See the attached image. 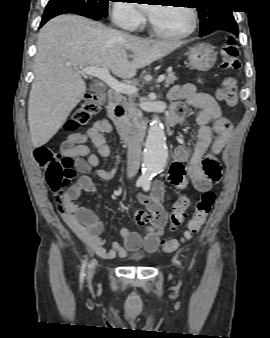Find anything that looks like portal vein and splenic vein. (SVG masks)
<instances>
[{
	"mask_svg": "<svg viewBox=\"0 0 270 338\" xmlns=\"http://www.w3.org/2000/svg\"><path fill=\"white\" fill-rule=\"evenodd\" d=\"M82 74L89 76L97 77L98 79L104 81L111 89L118 93L123 94H135L138 89L134 85L125 84L117 81L113 78L106 67H86L82 70ZM165 79V75L162 74L158 77L157 83H161Z\"/></svg>",
	"mask_w": 270,
	"mask_h": 338,
	"instance_id": "18ae733b",
	"label": "portal vein and splenic vein"
}]
</instances>
